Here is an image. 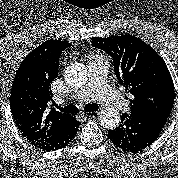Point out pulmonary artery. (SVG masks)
Masks as SVG:
<instances>
[{
	"mask_svg": "<svg viewBox=\"0 0 178 178\" xmlns=\"http://www.w3.org/2000/svg\"><path fill=\"white\" fill-rule=\"evenodd\" d=\"M88 70L87 83L75 92L72 99L78 102H85L97 98L112 104L118 109L127 110V102L107 81V60L100 56H92L88 62Z\"/></svg>",
	"mask_w": 178,
	"mask_h": 178,
	"instance_id": "obj_1",
	"label": "pulmonary artery"
}]
</instances>
